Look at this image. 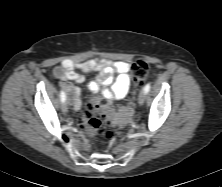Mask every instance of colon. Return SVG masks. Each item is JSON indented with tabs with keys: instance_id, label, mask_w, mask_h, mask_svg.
I'll return each instance as SVG.
<instances>
[{
	"instance_id": "colon-1",
	"label": "colon",
	"mask_w": 222,
	"mask_h": 187,
	"mask_svg": "<svg viewBox=\"0 0 222 187\" xmlns=\"http://www.w3.org/2000/svg\"><path fill=\"white\" fill-rule=\"evenodd\" d=\"M132 76L136 85H142L149 72V64L145 60H137L131 66ZM123 120L121 113L110 108L109 100L105 96L96 97L90 103L78 120L79 126L92 139L101 138L109 143H113L116 136L111 131H106L104 125L111 122L120 125Z\"/></svg>"
}]
</instances>
